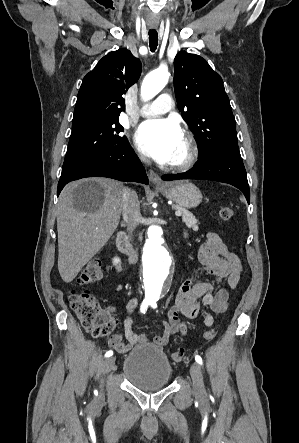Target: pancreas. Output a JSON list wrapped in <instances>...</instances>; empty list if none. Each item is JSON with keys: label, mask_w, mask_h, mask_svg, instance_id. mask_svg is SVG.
Returning a JSON list of instances; mask_svg holds the SVG:
<instances>
[{"label": "pancreas", "mask_w": 299, "mask_h": 443, "mask_svg": "<svg viewBox=\"0 0 299 443\" xmlns=\"http://www.w3.org/2000/svg\"><path fill=\"white\" fill-rule=\"evenodd\" d=\"M172 208L182 213V221L186 224L188 228H192L194 231H197L199 229L197 224L198 220L190 211L175 204L172 205Z\"/></svg>", "instance_id": "1"}]
</instances>
